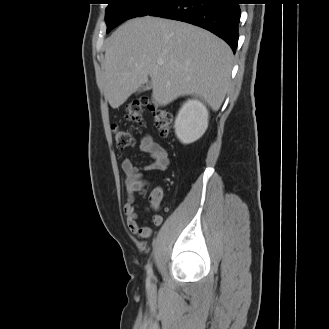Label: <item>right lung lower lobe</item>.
<instances>
[{
    "instance_id": "1",
    "label": "right lung lower lobe",
    "mask_w": 329,
    "mask_h": 329,
    "mask_svg": "<svg viewBox=\"0 0 329 329\" xmlns=\"http://www.w3.org/2000/svg\"><path fill=\"white\" fill-rule=\"evenodd\" d=\"M239 0H172L150 16L187 22L202 27L229 44H238Z\"/></svg>"
}]
</instances>
